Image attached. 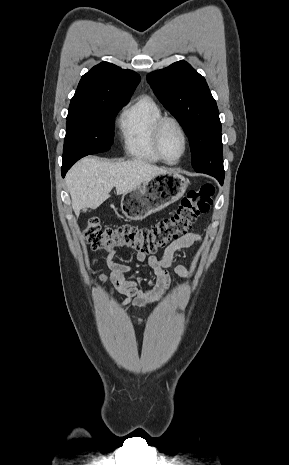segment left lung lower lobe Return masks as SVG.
Listing matches in <instances>:
<instances>
[{
    "instance_id": "0a47b994",
    "label": "left lung lower lobe",
    "mask_w": 289,
    "mask_h": 465,
    "mask_svg": "<svg viewBox=\"0 0 289 465\" xmlns=\"http://www.w3.org/2000/svg\"><path fill=\"white\" fill-rule=\"evenodd\" d=\"M217 179L219 180L220 184H223L224 176H217Z\"/></svg>"
}]
</instances>
